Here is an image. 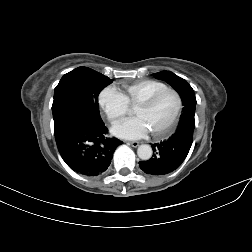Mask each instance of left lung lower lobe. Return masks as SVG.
I'll return each mask as SVG.
<instances>
[{
  "label": "left lung lower lobe",
  "instance_id": "0a47b994",
  "mask_svg": "<svg viewBox=\"0 0 252 252\" xmlns=\"http://www.w3.org/2000/svg\"><path fill=\"white\" fill-rule=\"evenodd\" d=\"M196 103L187 104L186 113L180 118L174 134L160 143L152 145L153 156L147 161H140V168L149 175H165L176 170L185 160L192 142L195 128Z\"/></svg>",
  "mask_w": 252,
  "mask_h": 252
}]
</instances>
